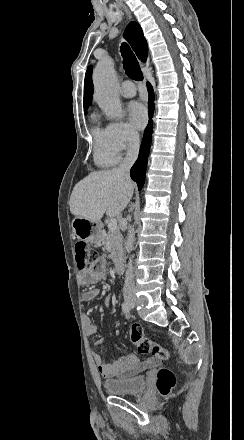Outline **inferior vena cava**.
Listing matches in <instances>:
<instances>
[{
    "mask_svg": "<svg viewBox=\"0 0 244 440\" xmlns=\"http://www.w3.org/2000/svg\"><path fill=\"white\" fill-rule=\"evenodd\" d=\"M139 146H140L139 134H132L129 140L127 156H125L124 162H122V164H120V168H118L120 174H123L125 180H130V176H129L130 168L137 160ZM123 292H124L123 296H129V294H135V282L133 276L132 258H130L128 262V266L125 274V284H124Z\"/></svg>",
    "mask_w": 244,
    "mask_h": 440,
    "instance_id": "602c4592",
    "label": "inferior vena cava"
}]
</instances>
